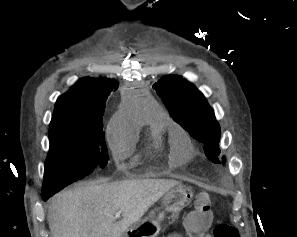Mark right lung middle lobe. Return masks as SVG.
<instances>
[{
  "label": "right lung middle lobe",
  "mask_w": 297,
  "mask_h": 237,
  "mask_svg": "<svg viewBox=\"0 0 297 237\" xmlns=\"http://www.w3.org/2000/svg\"><path fill=\"white\" fill-rule=\"evenodd\" d=\"M103 124L64 123L50 127L42 194H55L102 168L108 161Z\"/></svg>",
  "instance_id": "1"
}]
</instances>
